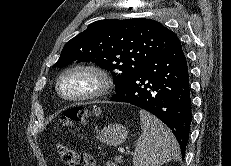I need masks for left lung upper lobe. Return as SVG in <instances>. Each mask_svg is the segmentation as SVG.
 <instances>
[{
	"label": "left lung upper lobe",
	"mask_w": 231,
	"mask_h": 166,
	"mask_svg": "<svg viewBox=\"0 0 231 166\" xmlns=\"http://www.w3.org/2000/svg\"><path fill=\"white\" fill-rule=\"evenodd\" d=\"M174 35L151 19L96 21L64 46L53 67H64L74 61L95 62L112 73L118 92Z\"/></svg>",
	"instance_id": "left-lung-upper-lobe-1"
}]
</instances>
